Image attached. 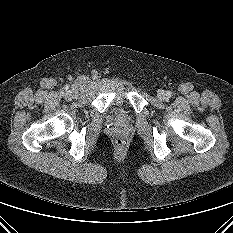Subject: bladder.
I'll use <instances>...</instances> for the list:
<instances>
[{
	"label": "bladder",
	"instance_id": "31cf9c89",
	"mask_svg": "<svg viewBox=\"0 0 233 233\" xmlns=\"http://www.w3.org/2000/svg\"><path fill=\"white\" fill-rule=\"evenodd\" d=\"M111 113L115 118L122 119L123 115L122 112L120 111V108L117 105H114L111 109Z\"/></svg>",
	"mask_w": 233,
	"mask_h": 233
}]
</instances>
